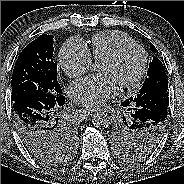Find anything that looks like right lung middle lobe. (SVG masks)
<instances>
[{"label": "right lung middle lobe", "mask_w": 184, "mask_h": 184, "mask_svg": "<svg viewBox=\"0 0 184 184\" xmlns=\"http://www.w3.org/2000/svg\"><path fill=\"white\" fill-rule=\"evenodd\" d=\"M52 35L43 34L28 44L18 56L12 74V102L23 98L51 101L61 92L57 65L53 61ZM75 132L70 125L57 128L49 144L30 150L43 163L61 162L74 148Z\"/></svg>", "instance_id": "obj_1"}]
</instances>
